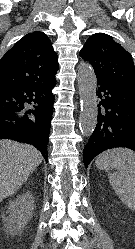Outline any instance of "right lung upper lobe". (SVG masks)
Returning a JSON list of instances; mask_svg holds the SVG:
<instances>
[{
    "mask_svg": "<svg viewBox=\"0 0 135 249\" xmlns=\"http://www.w3.org/2000/svg\"><path fill=\"white\" fill-rule=\"evenodd\" d=\"M58 68V57L47 35L29 33L1 58L0 89L50 81Z\"/></svg>",
    "mask_w": 135,
    "mask_h": 249,
    "instance_id": "obj_1",
    "label": "right lung upper lobe"
}]
</instances>
